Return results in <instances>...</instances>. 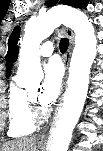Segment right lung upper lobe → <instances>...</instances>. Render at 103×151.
Masks as SVG:
<instances>
[{
	"instance_id": "1",
	"label": "right lung upper lobe",
	"mask_w": 103,
	"mask_h": 151,
	"mask_svg": "<svg viewBox=\"0 0 103 151\" xmlns=\"http://www.w3.org/2000/svg\"><path fill=\"white\" fill-rule=\"evenodd\" d=\"M20 36V27L16 26L10 35L8 41V52L6 55V76L9 77L11 74L12 63L17 59L18 46L17 40Z\"/></svg>"
}]
</instances>
